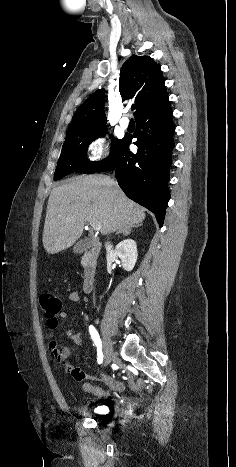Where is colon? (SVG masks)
Masks as SVG:
<instances>
[{
	"label": "colon",
	"mask_w": 236,
	"mask_h": 467,
	"mask_svg": "<svg viewBox=\"0 0 236 467\" xmlns=\"http://www.w3.org/2000/svg\"><path fill=\"white\" fill-rule=\"evenodd\" d=\"M39 303L46 317H53L62 309L61 300L50 293H42L39 296Z\"/></svg>",
	"instance_id": "colon-1"
}]
</instances>
